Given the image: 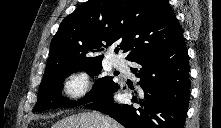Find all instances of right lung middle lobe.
I'll return each instance as SVG.
<instances>
[{
  "label": "right lung middle lobe",
  "instance_id": "1",
  "mask_svg": "<svg viewBox=\"0 0 221 128\" xmlns=\"http://www.w3.org/2000/svg\"><path fill=\"white\" fill-rule=\"evenodd\" d=\"M102 70V60H74L63 64L48 67L39 87L38 101L33 108L34 112L52 108L74 107L98 99L118 85L112 77L98 79L93 90L78 102L69 101L62 97L61 89L64 78L73 72L86 71L90 76H96Z\"/></svg>",
  "mask_w": 221,
  "mask_h": 128
}]
</instances>
